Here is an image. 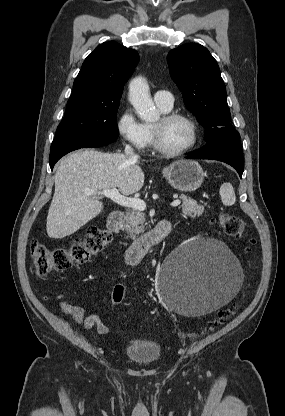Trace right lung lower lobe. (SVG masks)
Instances as JSON below:
<instances>
[{
    "instance_id": "obj_1",
    "label": "right lung lower lobe",
    "mask_w": 285,
    "mask_h": 416,
    "mask_svg": "<svg viewBox=\"0 0 285 416\" xmlns=\"http://www.w3.org/2000/svg\"><path fill=\"white\" fill-rule=\"evenodd\" d=\"M117 137L106 136H63L55 137L50 148V167L65 154L80 148H96L114 142Z\"/></svg>"
}]
</instances>
